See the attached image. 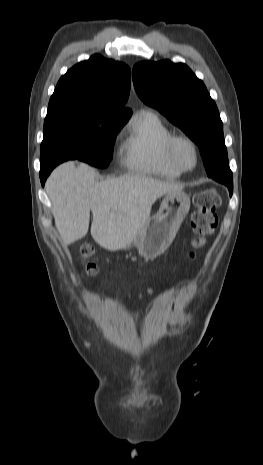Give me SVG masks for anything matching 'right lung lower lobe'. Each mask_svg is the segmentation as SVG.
Wrapping results in <instances>:
<instances>
[{
	"instance_id": "obj_1",
	"label": "right lung lower lobe",
	"mask_w": 263,
	"mask_h": 465,
	"mask_svg": "<svg viewBox=\"0 0 263 465\" xmlns=\"http://www.w3.org/2000/svg\"><path fill=\"white\" fill-rule=\"evenodd\" d=\"M52 169H40V179H41V183L42 185H44L45 183V180L47 178V176L49 175V173L51 172Z\"/></svg>"
}]
</instances>
